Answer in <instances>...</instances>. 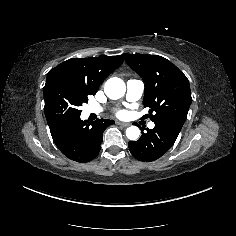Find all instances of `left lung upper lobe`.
Here are the masks:
<instances>
[{"mask_svg": "<svg viewBox=\"0 0 236 236\" xmlns=\"http://www.w3.org/2000/svg\"><path fill=\"white\" fill-rule=\"evenodd\" d=\"M126 63L145 82L144 107L153 122L178 119L184 122L192 102L187 77L169 60L158 55L124 54Z\"/></svg>", "mask_w": 236, "mask_h": 236, "instance_id": "5c2ea615", "label": "left lung upper lobe"}]
</instances>
